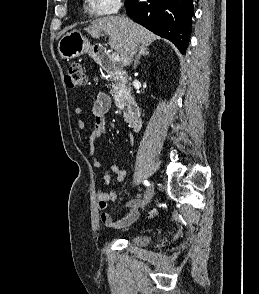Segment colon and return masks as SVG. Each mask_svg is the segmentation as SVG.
<instances>
[{"label": "colon", "instance_id": "5ec220e1", "mask_svg": "<svg viewBox=\"0 0 259 294\" xmlns=\"http://www.w3.org/2000/svg\"><path fill=\"white\" fill-rule=\"evenodd\" d=\"M87 79L83 67L79 63H72L65 76V83L70 89L82 88L86 85ZM159 214V210L152 208L148 216L153 218Z\"/></svg>", "mask_w": 259, "mask_h": 294}]
</instances>
